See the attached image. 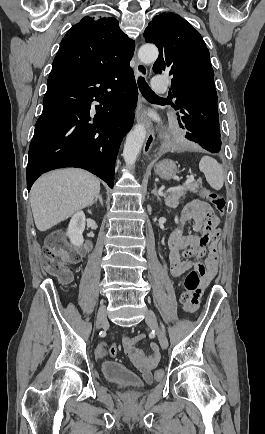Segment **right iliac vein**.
I'll list each match as a JSON object with an SVG mask.
<instances>
[{
  "label": "right iliac vein",
  "mask_w": 265,
  "mask_h": 434,
  "mask_svg": "<svg viewBox=\"0 0 265 434\" xmlns=\"http://www.w3.org/2000/svg\"><path fill=\"white\" fill-rule=\"evenodd\" d=\"M107 318H106V309L105 306L102 304L98 310V316H97V327L100 328L107 324Z\"/></svg>",
  "instance_id": "1"
}]
</instances>
